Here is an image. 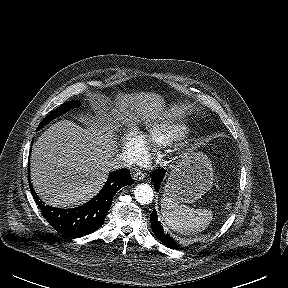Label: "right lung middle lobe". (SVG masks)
I'll list each match as a JSON object with an SVG mask.
<instances>
[{
  "instance_id": "1",
  "label": "right lung middle lobe",
  "mask_w": 288,
  "mask_h": 288,
  "mask_svg": "<svg viewBox=\"0 0 288 288\" xmlns=\"http://www.w3.org/2000/svg\"><path fill=\"white\" fill-rule=\"evenodd\" d=\"M79 102L78 101H70V102H66L62 105H60L56 110L52 111L39 125L38 128L44 126L46 123H48L49 121H51L53 118L63 114L64 112H66L67 110H69L70 108H76L79 107Z\"/></svg>"
}]
</instances>
